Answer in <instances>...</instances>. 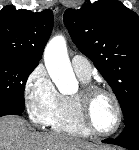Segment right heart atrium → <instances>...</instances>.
<instances>
[{"mask_svg": "<svg viewBox=\"0 0 139 150\" xmlns=\"http://www.w3.org/2000/svg\"><path fill=\"white\" fill-rule=\"evenodd\" d=\"M60 94L42 65L36 66L24 84V101L32 122L46 125Z\"/></svg>", "mask_w": 139, "mask_h": 150, "instance_id": "1", "label": "right heart atrium"}]
</instances>
